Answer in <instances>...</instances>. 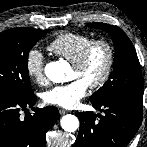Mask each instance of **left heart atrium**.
<instances>
[{"label":"left heart atrium","mask_w":147,"mask_h":147,"mask_svg":"<svg viewBox=\"0 0 147 147\" xmlns=\"http://www.w3.org/2000/svg\"><path fill=\"white\" fill-rule=\"evenodd\" d=\"M88 87L89 85L85 81L75 79L68 84L58 85L46 91L43 99L47 104L71 109L85 97Z\"/></svg>","instance_id":"obj_1"}]
</instances>
